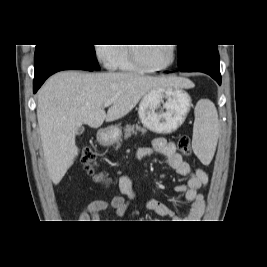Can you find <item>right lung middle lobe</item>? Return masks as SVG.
<instances>
[{"instance_id": "dd1d6c3e", "label": "right lung middle lobe", "mask_w": 267, "mask_h": 267, "mask_svg": "<svg viewBox=\"0 0 267 267\" xmlns=\"http://www.w3.org/2000/svg\"><path fill=\"white\" fill-rule=\"evenodd\" d=\"M45 46H51L57 48L87 63L96 70L100 69V66L95 56V49L93 45H78V44L36 45V49Z\"/></svg>"}]
</instances>
